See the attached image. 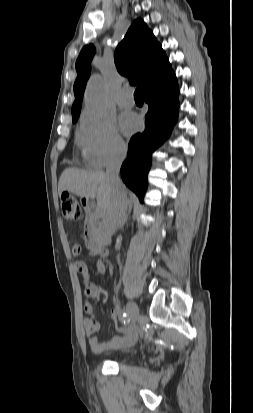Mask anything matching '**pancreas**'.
Masks as SVG:
<instances>
[{
  "instance_id": "obj_1",
  "label": "pancreas",
  "mask_w": 253,
  "mask_h": 413,
  "mask_svg": "<svg viewBox=\"0 0 253 413\" xmlns=\"http://www.w3.org/2000/svg\"><path fill=\"white\" fill-rule=\"evenodd\" d=\"M91 217L94 218L95 220H97L96 214H92Z\"/></svg>"
}]
</instances>
